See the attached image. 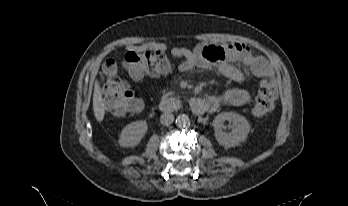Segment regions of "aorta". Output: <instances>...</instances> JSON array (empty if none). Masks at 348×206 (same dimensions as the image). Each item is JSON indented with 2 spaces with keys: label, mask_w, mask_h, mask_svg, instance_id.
I'll list each match as a JSON object with an SVG mask.
<instances>
[{
  "label": "aorta",
  "mask_w": 348,
  "mask_h": 206,
  "mask_svg": "<svg viewBox=\"0 0 348 206\" xmlns=\"http://www.w3.org/2000/svg\"><path fill=\"white\" fill-rule=\"evenodd\" d=\"M190 124V119L186 114H181L176 118V125L180 128L186 127Z\"/></svg>",
  "instance_id": "1"
}]
</instances>
